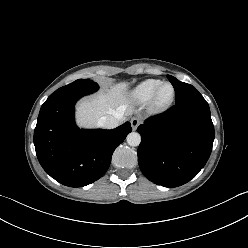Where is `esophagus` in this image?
Returning a JSON list of instances; mask_svg holds the SVG:
<instances>
[{"label": "esophagus", "mask_w": 248, "mask_h": 248, "mask_svg": "<svg viewBox=\"0 0 248 248\" xmlns=\"http://www.w3.org/2000/svg\"><path fill=\"white\" fill-rule=\"evenodd\" d=\"M140 122H141V121H140L139 118H137V117L132 118V119H131V127H132V129H133V130H136L137 127L139 126Z\"/></svg>", "instance_id": "1"}]
</instances>
